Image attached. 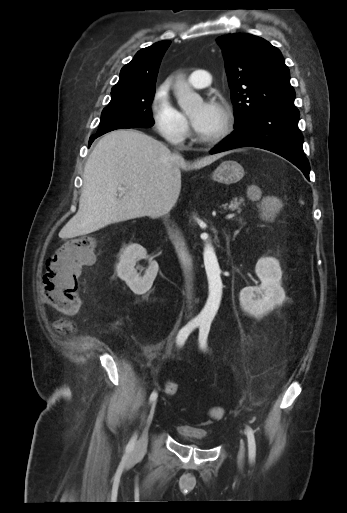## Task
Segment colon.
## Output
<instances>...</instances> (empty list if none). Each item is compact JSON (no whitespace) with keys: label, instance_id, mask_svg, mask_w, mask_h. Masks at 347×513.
<instances>
[{"label":"colon","instance_id":"1","mask_svg":"<svg viewBox=\"0 0 347 513\" xmlns=\"http://www.w3.org/2000/svg\"><path fill=\"white\" fill-rule=\"evenodd\" d=\"M251 201L259 200L257 190L248 194ZM268 211L274 213L278 210V202L267 205ZM272 221L274 216H265ZM94 240L89 236L73 238L62 244L49 258L47 269L44 273L43 283L49 304L61 313H75L81 307V299L78 293L77 281L84 266L94 260ZM165 392L169 397L179 393L176 383L166 385ZM211 415L215 419L222 416L220 408H214Z\"/></svg>","mask_w":347,"mask_h":513}]
</instances>
